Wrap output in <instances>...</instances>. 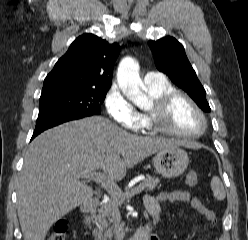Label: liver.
Returning <instances> with one entry per match:
<instances>
[{
    "label": "liver",
    "instance_id": "1",
    "mask_svg": "<svg viewBox=\"0 0 248 240\" xmlns=\"http://www.w3.org/2000/svg\"><path fill=\"white\" fill-rule=\"evenodd\" d=\"M179 144L128 133L103 117L45 131L31 142L19 177L18 217L24 240H44L56 221L91 200L92 188L80 180L88 176L80 171L102 169L119 181L128 168Z\"/></svg>",
    "mask_w": 248,
    "mask_h": 240
}]
</instances>
